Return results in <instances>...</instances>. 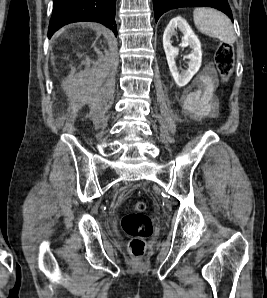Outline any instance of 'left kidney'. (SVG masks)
I'll return each instance as SVG.
<instances>
[{
    "label": "left kidney",
    "mask_w": 267,
    "mask_h": 298,
    "mask_svg": "<svg viewBox=\"0 0 267 298\" xmlns=\"http://www.w3.org/2000/svg\"><path fill=\"white\" fill-rule=\"evenodd\" d=\"M179 29L183 33V41L181 47L189 46L192 52L187 56L190 60L188 68L181 73L175 63V58L179 53V49L171 44V37L175 34V30ZM163 47L166 54L167 63L175 83L179 87H183L189 83L192 77L198 72L202 62L201 43L195 35L189 24L182 17L173 18L167 25L163 34Z\"/></svg>",
    "instance_id": "obj_1"
}]
</instances>
